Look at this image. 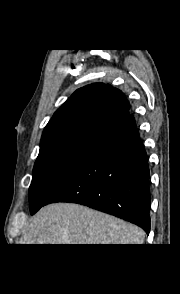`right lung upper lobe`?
<instances>
[{
    "mask_svg": "<svg viewBox=\"0 0 180 294\" xmlns=\"http://www.w3.org/2000/svg\"><path fill=\"white\" fill-rule=\"evenodd\" d=\"M125 95L108 84L94 83L75 91L46 125L40 151L77 139L100 142L130 117Z\"/></svg>",
    "mask_w": 180,
    "mask_h": 294,
    "instance_id": "1",
    "label": "right lung upper lobe"
}]
</instances>
